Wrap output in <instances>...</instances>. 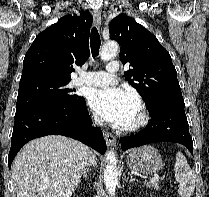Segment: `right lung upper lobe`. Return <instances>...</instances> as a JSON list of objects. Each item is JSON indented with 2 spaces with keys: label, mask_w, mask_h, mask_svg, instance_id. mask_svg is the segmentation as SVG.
<instances>
[{
  "label": "right lung upper lobe",
  "mask_w": 209,
  "mask_h": 197,
  "mask_svg": "<svg viewBox=\"0 0 209 197\" xmlns=\"http://www.w3.org/2000/svg\"><path fill=\"white\" fill-rule=\"evenodd\" d=\"M90 13L66 15L41 32L27 51L20 85L36 81L71 80L75 65H82L89 57Z\"/></svg>",
  "instance_id": "obj_1"
}]
</instances>
